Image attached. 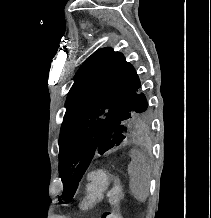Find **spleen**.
<instances>
[{
  "label": "spleen",
  "mask_w": 211,
  "mask_h": 218,
  "mask_svg": "<svg viewBox=\"0 0 211 218\" xmlns=\"http://www.w3.org/2000/svg\"><path fill=\"white\" fill-rule=\"evenodd\" d=\"M131 162L128 166L130 190L138 202H146L149 194V168L140 152L132 150Z\"/></svg>",
  "instance_id": "3e777b00"
}]
</instances>
